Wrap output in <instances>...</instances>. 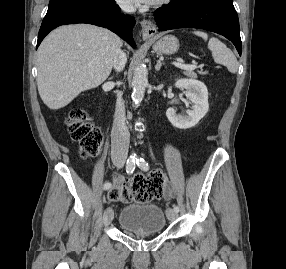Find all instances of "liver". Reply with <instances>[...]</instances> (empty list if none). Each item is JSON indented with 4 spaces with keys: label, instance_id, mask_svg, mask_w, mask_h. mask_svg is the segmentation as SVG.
Returning <instances> with one entry per match:
<instances>
[{
    "label": "liver",
    "instance_id": "obj_1",
    "mask_svg": "<svg viewBox=\"0 0 286 269\" xmlns=\"http://www.w3.org/2000/svg\"><path fill=\"white\" fill-rule=\"evenodd\" d=\"M121 44L114 33L88 24L52 31L37 51V86L42 101L57 110L81 92L102 84Z\"/></svg>",
    "mask_w": 286,
    "mask_h": 269
}]
</instances>
